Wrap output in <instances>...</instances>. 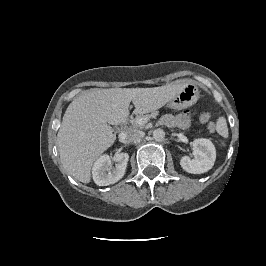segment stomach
<instances>
[{"instance_id":"1","label":"stomach","mask_w":266,"mask_h":266,"mask_svg":"<svg viewBox=\"0 0 266 266\" xmlns=\"http://www.w3.org/2000/svg\"><path fill=\"white\" fill-rule=\"evenodd\" d=\"M199 97L197 86L187 82L182 89L169 101V106L174 109H183L193 105Z\"/></svg>"}]
</instances>
